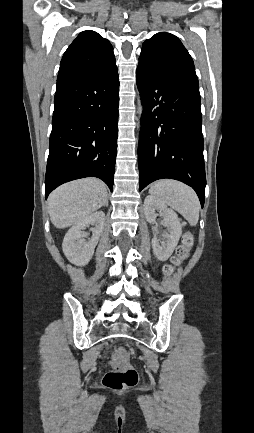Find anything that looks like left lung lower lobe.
<instances>
[{
    "label": "left lung lower lobe",
    "instance_id": "left-lung-lower-lobe-1",
    "mask_svg": "<svg viewBox=\"0 0 254 433\" xmlns=\"http://www.w3.org/2000/svg\"><path fill=\"white\" fill-rule=\"evenodd\" d=\"M136 78L144 106L139 191L158 179L179 180L196 191L203 208L206 177L199 86L165 76L141 62Z\"/></svg>",
    "mask_w": 254,
    "mask_h": 433
}]
</instances>
